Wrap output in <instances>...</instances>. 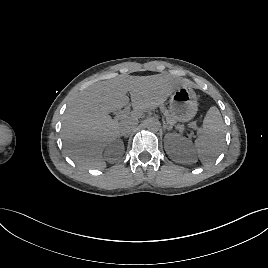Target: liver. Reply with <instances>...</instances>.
I'll return each mask as SVG.
<instances>
[{
	"label": "liver",
	"mask_w": 268,
	"mask_h": 268,
	"mask_svg": "<svg viewBox=\"0 0 268 268\" xmlns=\"http://www.w3.org/2000/svg\"><path fill=\"white\" fill-rule=\"evenodd\" d=\"M185 82L166 74L151 76L119 75L94 83L71 100L63 115L61 137L70 158L91 169L106 167L102 153L120 135L122 121L137 120L147 109H155ZM131 104L133 111L121 122L109 113Z\"/></svg>",
	"instance_id": "1"
}]
</instances>
